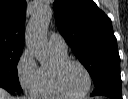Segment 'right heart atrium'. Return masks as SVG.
Wrapping results in <instances>:
<instances>
[{"mask_svg":"<svg viewBox=\"0 0 128 99\" xmlns=\"http://www.w3.org/2000/svg\"><path fill=\"white\" fill-rule=\"evenodd\" d=\"M16 70L20 86L24 90L32 92L38 79L39 67L29 49H25L20 55Z\"/></svg>","mask_w":128,"mask_h":99,"instance_id":"d8ad5b80","label":"right heart atrium"}]
</instances>
